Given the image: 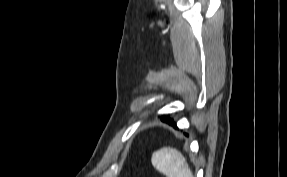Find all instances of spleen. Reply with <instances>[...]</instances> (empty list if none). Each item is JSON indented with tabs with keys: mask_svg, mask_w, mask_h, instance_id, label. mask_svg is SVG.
<instances>
[{
	"mask_svg": "<svg viewBox=\"0 0 287 177\" xmlns=\"http://www.w3.org/2000/svg\"><path fill=\"white\" fill-rule=\"evenodd\" d=\"M151 162L166 177H193L185 157L174 148L163 147L153 152Z\"/></svg>",
	"mask_w": 287,
	"mask_h": 177,
	"instance_id": "spleen-1",
	"label": "spleen"
}]
</instances>
